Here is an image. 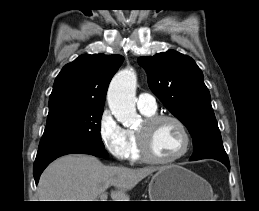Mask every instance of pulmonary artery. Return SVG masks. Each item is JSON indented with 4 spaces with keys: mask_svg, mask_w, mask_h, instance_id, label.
<instances>
[{
    "mask_svg": "<svg viewBox=\"0 0 259 211\" xmlns=\"http://www.w3.org/2000/svg\"><path fill=\"white\" fill-rule=\"evenodd\" d=\"M137 107L140 111L155 112L157 109L155 97L148 93H140L137 97Z\"/></svg>",
    "mask_w": 259,
    "mask_h": 211,
    "instance_id": "obj_1",
    "label": "pulmonary artery"
}]
</instances>
